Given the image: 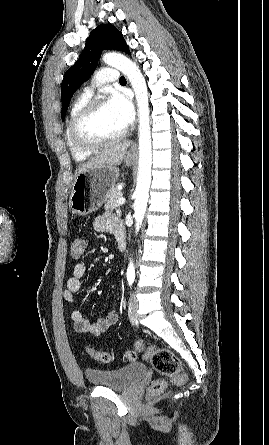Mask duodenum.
Returning <instances> with one entry per match:
<instances>
[{
	"label": "duodenum",
	"mask_w": 269,
	"mask_h": 445,
	"mask_svg": "<svg viewBox=\"0 0 269 445\" xmlns=\"http://www.w3.org/2000/svg\"><path fill=\"white\" fill-rule=\"evenodd\" d=\"M116 239H117V243H118V249L120 252L125 251L126 249V234L125 231H120L117 235H116Z\"/></svg>",
	"instance_id": "410a0bca"
}]
</instances>
